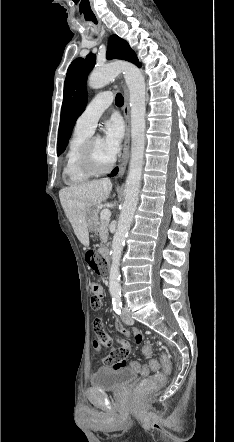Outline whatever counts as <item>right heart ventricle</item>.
Wrapping results in <instances>:
<instances>
[{
    "label": "right heart ventricle",
    "mask_w": 234,
    "mask_h": 442,
    "mask_svg": "<svg viewBox=\"0 0 234 442\" xmlns=\"http://www.w3.org/2000/svg\"><path fill=\"white\" fill-rule=\"evenodd\" d=\"M89 137L90 133L75 128L69 139L65 153L63 175L67 183L71 185L83 184L92 177L80 166L81 150Z\"/></svg>",
    "instance_id": "e07e8e85"
}]
</instances>
